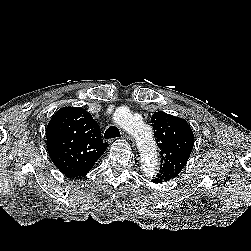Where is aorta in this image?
Masks as SVG:
<instances>
[{
    "label": "aorta",
    "instance_id": "obj_1",
    "mask_svg": "<svg viewBox=\"0 0 251 251\" xmlns=\"http://www.w3.org/2000/svg\"><path fill=\"white\" fill-rule=\"evenodd\" d=\"M114 120L135 139L143 170L147 176H153L158 167V152L151 128L140 116L124 112L123 109L116 111Z\"/></svg>",
    "mask_w": 251,
    "mask_h": 251
}]
</instances>
